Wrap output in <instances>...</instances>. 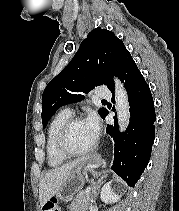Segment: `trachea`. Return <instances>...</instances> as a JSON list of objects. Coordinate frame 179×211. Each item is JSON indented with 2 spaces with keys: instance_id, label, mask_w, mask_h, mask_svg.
Here are the masks:
<instances>
[{
  "instance_id": "trachea-1",
  "label": "trachea",
  "mask_w": 179,
  "mask_h": 211,
  "mask_svg": "<svg viewBox=\"0 0 179 211\" xmlns=\"http://www.w3.org/2000/svg\"><path fill=\"white\" fill-rule=\"evenodd\" d=\"M102 102H107L106 100H102Z\"/></svg>"
}]
</instances>
